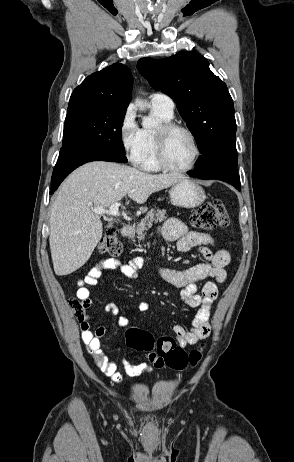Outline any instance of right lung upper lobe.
I'll use <instances>...</instances> for the list:
<instances>
[{"label":"right lung upper lobe","instance_id":"right-lung-upper-lobe-1","mask_svg":"<svg viewBox=\"0 0 294 462\" xmlns=\"http://www.w3.org/2000/svg\"><path fill=\"white\" fill-rule=\"evenodd\" d=\"M133 77L130 69L115 63L89 75L70 97L69 107L102 105L127 108L131 101Z\"/></svg>","mask_w":294,"mask_h":462}]
</instances>
